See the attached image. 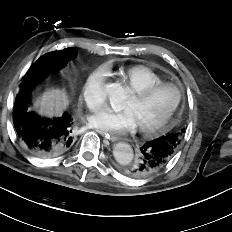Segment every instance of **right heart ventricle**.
Returning a JSON list of instances; mask_svg holds the SVG:
<instances>
[{"instance_id": "right-heart-ventricle-1", "label": "right heart ventricle", "mask_w": 232, "mask_h": 232, "mask_svg": "<svg viewBox=\"0 0 232 232\" xmlns=\"http://www.w3.org/2000/svg\"><path fill=\"white\" fill-rule=\"evenodd\" d=\"M118 76L132 91L163 82L156 72L143 65L124 67L119 70Z\"/></svg>"}]
</instances>
